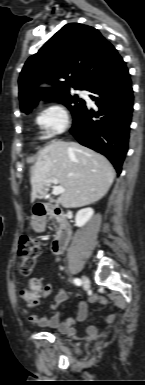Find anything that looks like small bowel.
Here are the masks:
<instances>
[{"mask_svg": "<svg viewBox=\"0 0 145 385\" xmlns=\"http://www.w3.org/2000/svg\"><path fill=\"white\" fill-rule=\"evenodd\" d=\"M51 293V286L46 285L43 290L44 297H47ZM69 292L64 289H59L54 298V303L51 305V309L53 310V314L51 316H44L39 314H30L29 309L25 305H21L22 312L27 316L29 322L33 324H37L41 327L53 328L57 329L59 332L67 335L68 337H73L76 334L75 324L77 322L83 321L87 316V301L91 303H96L100 305H109V301L103 297L98 295H91L88 299H84L81 295L76 294V298L78 299V305L74 310V315L72 317L67 318L64 321L60 320V315L57 312V306L64 303L68 297ZM115 319L113 314H110L105 317V321L107 323H112ZM109 328L106 327V331ZM84 340L93 341L98 339V328L95 325H90L86 329V333L83 337Z\"/></svg>", "mask_w": 145, "mask_h": 385, "instance_id": "obj_1", "label": "small bowel"}]
</instances>
